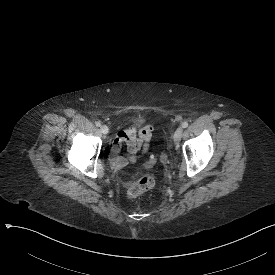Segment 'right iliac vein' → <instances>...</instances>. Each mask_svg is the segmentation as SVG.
<instances>
[{
	"instance_id": "63e3f726",
	"label": "right iliac vein",
	"mask_w": 275,
	"mask_h": 275,
	"mask_svg": "<svg viewBox=\"0 0 275 275\" xmlns=\"http://www.w3.org/2000/svg\"><path fill=\"white\" fill-rule=\"evenodd\" d=\"M100 131H101L103 134H108L109 128H108V126H106V125H102V126L100 127Z\"/></svg>"
}]
</instances>
